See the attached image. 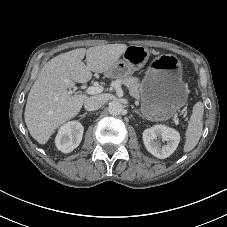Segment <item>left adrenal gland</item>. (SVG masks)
<instances>
[{
  "mask_svg": "<svg viewBox=\"0 0 227 227\" xmlns=\"http://www.w3.org/2000/svg\"><path fill=\"white\" fill-rule=\"evenodd\" d=\"M133 112L136 113V114H138L139 116H141V114L139 113V111L134 110Z\"/></svg>",
  "mask_w": 227,
  "mask_h": 227,
  "instance_id": "1",
  "label": "left adrenal gland"
}]
</instances>
